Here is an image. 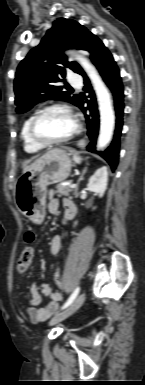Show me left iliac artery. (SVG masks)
<instances>
[{
	"mask_svg": "<svg viewBox=\"0 0 145 385\" xmlns=\"http://www.w3.org/2000/svg\"><path fill=\"white\" fill-rule=\"evenodd\" d=\"M79 291H80V288L77 287L73 293L71 294V296L68 298V300L65 302V304L63 305L62 309H65L66 307H68L69 305H71L73 303V301L75 300V298L77 297V295L79 294Z\"/></svg>",
	"mask_w": 145,
	"mask_h": 385,
	"instance_id": "obj_1",
	"label": "left iliac artery"
}]
</instances>
